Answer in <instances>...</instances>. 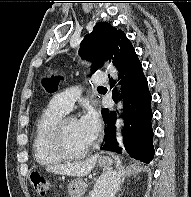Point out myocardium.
I'll use <instances>...</instances> for the list:
<instances>
[{"label": "myocardium", "mask_w": 191, "mask_h": 197, "mask_svg": "<svg viewBox=\"0 0 191 197\" xmlns=\"http://www.w3.org/2000/svg\"><path fill=\"white\" fill-rule=\"evenodd\" d=\"M70 120H76L74 116H63L53 127L50 141L55 152L66 160H77L85 157L93 148V144L83 149L81 152L73 153L68 150L65 144V126Z\"/></svg>", "instance_id": "obj_1"}]
</instances>
